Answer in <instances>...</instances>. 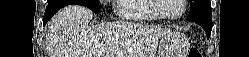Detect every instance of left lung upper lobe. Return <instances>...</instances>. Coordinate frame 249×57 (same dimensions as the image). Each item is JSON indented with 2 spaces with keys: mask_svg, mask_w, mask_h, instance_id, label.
I'll use <instances>...</instances> for the list:
<instances>
[{
  "mask_svg": "<svg viewBox=\"0 0 249 57\" xmlns=\"http://www.w3.org/2000/svg\"><path fill=\"white\" fill-rule=\"evenodd\" d=\"M187 19H204L212 21L210 0H190V13Z\"/></svg>",
  "mask_w": 249,
  "mask_h": 57,
  "instance_id": "obj_1",
  "label": "left lung upper lobe"
}]
</instances>
